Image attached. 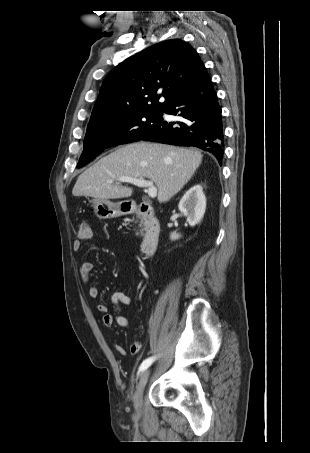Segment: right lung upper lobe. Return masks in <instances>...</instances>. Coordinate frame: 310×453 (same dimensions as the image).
Masks as SVG:
<instances>
[{
    "label": "right lung upper lobe",
    "mask_w": 310,
    "mask_h": 453,
    "mask_svg": "<svg viewBox=\"0 0 310 453\" xmlns=\"http://www.w3.org/2000/svg\"><path fill=\"white\" fill-rule=\"evenodd\" d=\"M204 68L188 43L180 39L157 43L124 60L106 76L89 124L134 111L163 110ZM160 97H164L162 102Z\"/></svg>",
    "instance_id": "1"
}]
</instances>
